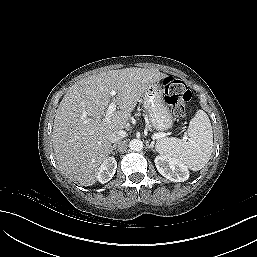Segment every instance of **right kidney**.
Returning a JSON list of instances; mask_svg holds the SVG:
<instances>
[{
  "instance_id": "obj_1",
  "label": "right kidney",
  "mask_w": 257,
  "mask_h": 257,
  "mask_svg": "<svg viewBox=\"0 0 257 257\" xmlns=\"http://www.w3.org/2000/svg\"><path fill=\"white\" fill-rule=\"evenodd\" d=\"M117 169V162L115 158L108 157L98 168L97 180L102 184L107 183L112 179Z\"/></svg>"
}]
</instances>
